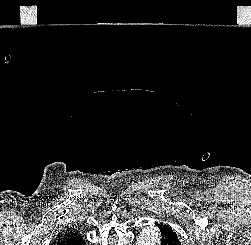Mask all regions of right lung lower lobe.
I'll use <instances>...</instances> for the list:
<instances>
[{
	"mask_svg": "<svg viewBox=\"0 0 251 245\" xmlns=\"http://www.w3.org/2000/svg\"><path fill=\"white\" fill-rule=\"evenodd\" d=\"M53 245H85V241L77 232L68 231L56 238Z\"/></svg>",
	"mask_w": 251,
	"mask_h": 245,
	"instance_id": "1",
	"label": "right lung lower lobe"
}]
</instances>
